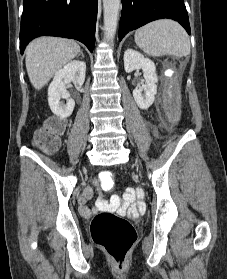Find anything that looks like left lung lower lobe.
<instances>
[{
	"mask_svg": "<svg viewBox=\"0 0 227 279\" xmlns=\"http://www.w3.org/2000/svg\"><path fill=\"white\" fill-rule=\"evenodd\" d=\"M162 18L178 21L190 34L184 0H122L119 40L129 31Z\"/></svg>",
	"mask_w": 227,
	"mask_h": 279,
	"instance_id": "obj_1",
	"label": "left lung lower lobe"
}]
</instances>
